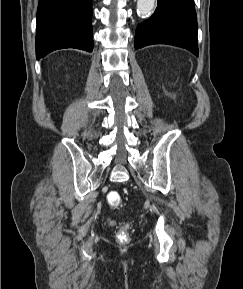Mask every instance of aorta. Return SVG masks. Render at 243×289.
Here are the masks:
<instances>
[{
    "instance_id": "aorta-1",
    "label": "aorta",
    "mask_w": 243,
    "mask_h": 289,
    "mask_svg": "<svg viewBox=\"0 0 243 289\" xmlns=\"http://www.w3.org/2000/svg\"><path fill=\"white\" fill-rule=\"evenodd\" d=\"M155 0H137V13L141 17L148 16L154 8Z\"/></svg>"
}]
</instances>
